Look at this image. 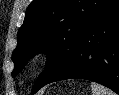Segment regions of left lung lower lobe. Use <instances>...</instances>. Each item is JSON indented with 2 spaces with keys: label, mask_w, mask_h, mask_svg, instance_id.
<instances>
[{
  "label": "left lung lower lobe",
  "mask_w": 119,
  "mask_h": 95,
  "mask_svg": "<svg viewBox=\"0 0 119 95\" xmlns=\"http://www.w3.org/2000/svg\"><path fill=\"white\" fill-rule=\"evenodd\" d=\"M72 78L97 82L119 94V0L85 32L70 66L46 84Z\"/></svg>",
  "instance_id": "0a47b994"
}]
</instances>
